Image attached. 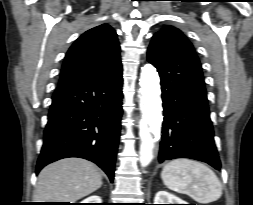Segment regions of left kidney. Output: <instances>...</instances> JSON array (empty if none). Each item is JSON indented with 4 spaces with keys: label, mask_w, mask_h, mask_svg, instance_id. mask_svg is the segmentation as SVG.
<instances>
[{
    "label": "left kidney",
    "mask_w": 253,
    "mask_h": 205,
    "mask_svg": "<svg viewBox=\"0 0 253 205\" xmlns=\"http://www.w3.org/2000/svg\"><path fill=\"white\" fill-rule=\"evenodd\" d=\"M154 204H187V202L169 192L159 191L155 195Z\"/></svg>",
    "instance_id": "5707ae66"
}]
</instances>
